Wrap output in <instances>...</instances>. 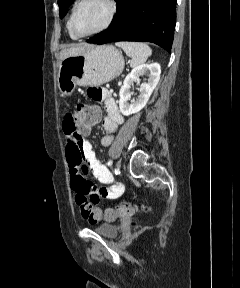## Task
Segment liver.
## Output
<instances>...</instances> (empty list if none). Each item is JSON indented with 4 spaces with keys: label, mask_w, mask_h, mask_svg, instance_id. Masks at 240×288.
I'll use <instances>...</instances> for the list:
<instances>
[{
    "label": "liver",
    "mask_w": 240,
    "mask_h": 288,
    "mask_svg": "<svg viewBox=\"0 0 240 288\" xmlns=\"http://www.w3.org/2000/svg\"><path fill=\"white\" fill-rule=\"evenodd\" d=\"M88 44H85V43H82V44H78L74 47H71V48H67V49H63L61 52H60V59L63 60L69 56H73V55H76L78 53H80L81 51H83L85 48H87Z\"/></svg>",
    "instance_id": "liver-1"
}]
</instances>
